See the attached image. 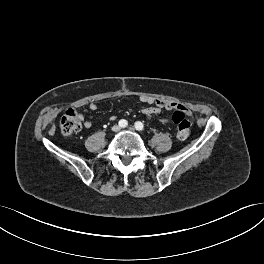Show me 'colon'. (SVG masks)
Wrapping results in <instances>:
<instances>
[{"mask_svg":"<svg viewBox=\"0 0 264 264\" xmlns=\"http://www.w3.org/2000/svg\"><path fill=\"white\" fill-rule=\"evenodd\" d=\"M172 121L176 126L177 136L186 139L191 131L192 122L186 116L184 108L178 107L172 114ZM61 132L66 135H73L81 130V121L78 113L74 109H68L60 121Z\"/></svg>","mask_w":264,"mask_h":264,"instance_id":"obj_1","label":"colon"}]
</instances>
